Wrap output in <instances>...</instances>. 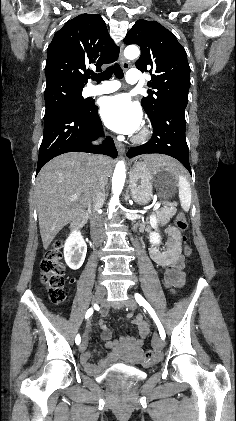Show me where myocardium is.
<instances>
[{
	"label": "myocardium",
	"instance_id": "f54148a6",
	"mask_svg": "<svg viewBox=\"0 0 236 421\" xmlns=\"http://www.w3.org/2000/svg\"><path fill=\"white\" fill-rule=\"evenodd\" d=\"M150 135V131L147 127H143L134 137V140L136 142H144L145 140L148 139Z\"/></svg>",
	"mask_w": 236,
	"mask_h": 421
}]
</instances>
